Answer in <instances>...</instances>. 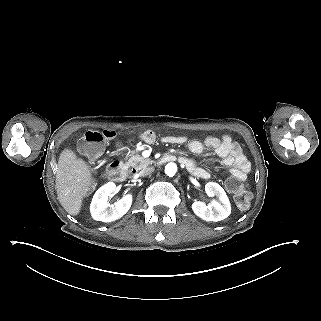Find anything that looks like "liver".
I'll return each instance as SVG.
<instances>
[{"label":"liver","mask_w":321,"mask_h":321,"mask_svg":"<svg viewBox=\"0 0 321 321\" xmlns=\"http://www.w3.org/2000/svg\"><path fill=\"white\" fill-rule=\"evenodd\" d=\"M92 184L93 174L89 165L73 150L64 148L58 160L56 188L59 202L68 214H80Z\"/></svg>","instance_id":"obj_1"}]
</instances>
